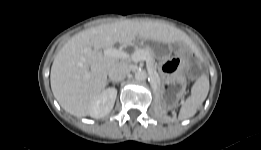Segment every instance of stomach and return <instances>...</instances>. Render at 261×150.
Wrapping results in <instances>:
<instances>
[{"instance_id":"0dacf381","label":"stomach","mask_w":261,"mask_h":150,"mask_svg":"<svg viewBox=\"0 0 261 150\" xmlns=\"http://www.w3.org/2000/svg\"><path fill=\"white\" fill-rule=\"evenodd\" d=\"M159 57V72L162 78L170 84H184L186 61L181 56L175 55L172 57H163L158 54V50L154 51Z\"/></svg>"}]
</instances>
